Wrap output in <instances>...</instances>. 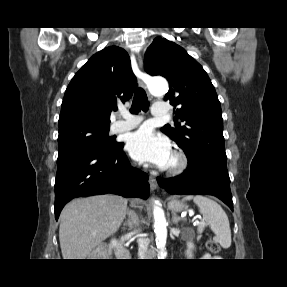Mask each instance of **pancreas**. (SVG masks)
I'll list each match as a JSON object with an SVG mask.
<instances>
[{
  "instance_id": "1",
  "label": "pancreas",
  "mask_w": 287,
  "mask_h": 287,
  "mask_svg": "<svg viewBox=\"0 0 287 287\" xmlns=\"http://www.w3.org/2000/svg\"><path fill=\"white\" fill-rule=\"evenodd\" d=\"M204 226L203 225H199L198 226V228H197V231H198V239H200L201 238V234H202V232H203V230H204Z\"/></svg>"
}]
</instances>
